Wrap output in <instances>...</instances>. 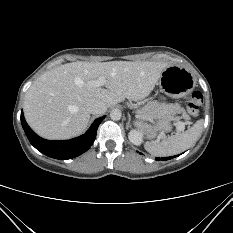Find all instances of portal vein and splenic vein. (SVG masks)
<instances>
[{
  "mask_svg": "<svg viewBox=\"0 0 233 233\" xmlns=\"http://www.w3.org/2000/svg\"><path fill=\"white\" fill-rule=\"evenodd\" d=\"M93 84L95 85V86H102L103 84H104V82H103V80L102 79H99V80H97V81H94L93 82ZM177 126H178V128H179V130H181V131H183L184 130V123L183 122H178L177 123Z\"/></svg>",
  "mask_w": 233,
  "mask_h": 233,
  "instance_id": "obj_1",
  "label": "portal vein and splenic vein"
}]
</instances>
